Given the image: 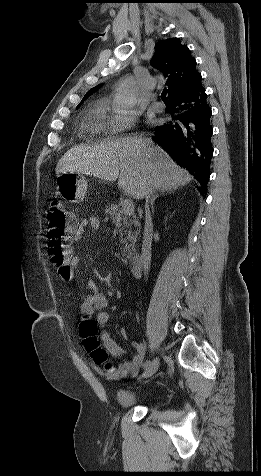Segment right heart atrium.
Instances as JSON below:
<instances>
[{
    "label": "right heart atrium",
    "instance_id": "right-heart-atrium-1",
    "mask_svg": "<svg viewBox=\"0 0 261 476\" xmlns=\"http://www.w3.org/2000/svg\"><path fill=\"white\" fill-rule=\"evenodd\" d=\"M137 121V113L134 110H114L109 119L107 130L111 134H120L130 130Z\"/></svg>",
    "mask_w": 261,
    "mask_h": 476
}]
</instances>
